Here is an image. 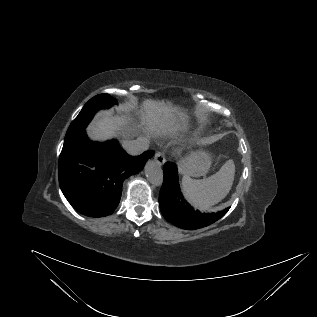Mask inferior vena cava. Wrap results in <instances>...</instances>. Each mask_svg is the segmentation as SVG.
<instances>
[{
	"instance_id": "inferior-vena-cava-1",
	"label": "inferior vena cava",
	"mask_w": 317,
	"mask_h": 317,
	"mask_svg": "<svg viewBox=\"0 0 317 317\" xmlns=\"http://www.w3.org/2000/svg\"><path fill=\"white\" fill-rule=\"evenodd\" d=\"M122 146L128 154L137 156L148 150L149 142L146 137H138L135 140H124Z\"/></svg>"
}]
</instances>
